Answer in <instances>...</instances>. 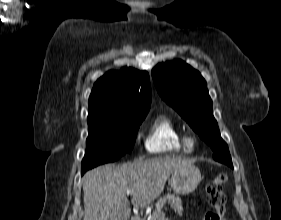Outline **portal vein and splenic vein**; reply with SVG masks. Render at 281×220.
<instances>
[{"label":"portal vein and splenic vein","instance_id":"18ae733b","mask_svg":"<svg viewBox=\"0 0 281 220\" xmlns=\"http://www.w3.org/2000/svg\"><path fill=\"white\" fill-rule=\"evenodd\" d=\"M134 192L133 191H130V190H127L126 191V194L127 195H132ZM162 216L164 217V213L162 212Z\"/></svg>","mask_w":281,"mask_h":220}]
</instances>
